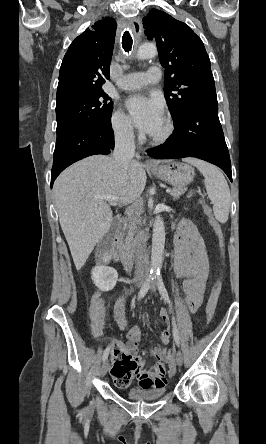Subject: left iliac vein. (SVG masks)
<instances>
[{"label": "left iliac vein", "instance_id": "4c4485c4", "mask_svg": "<svg viewBox=\"0 0 266 444\" xmlns=\"http://www.w3.org/2000/svg\"><path fill=\"white\" fill-rule=\"evenodd\" d=\"M151 290L152 291L156 290L155 283H151ZM176 363H177L178 366H181L182 363H183V354H182V352L180 350L177 351V353H176Z\"/></svg>", "mask_w": 266, "mask_h": 444}]
</instances>
